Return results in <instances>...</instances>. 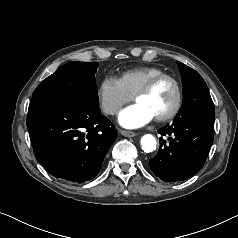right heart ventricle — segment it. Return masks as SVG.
Wrapping results in <instances>:
<instances>
[{
	"label": "right heart ventricle",
	"mask_w": 238,
	"mask_h": 238,
	"mask_svg": "<svg viewBox=\"0 0 238 238\" xmlns=\"http://www.w3.org/2000/svg\"><path fill=\"white\" fill-rule=\"evenodd\" d=\"M165 71L156 66H140L121 73L118 80L124 90L133 96L151 78L164 74Z\"/></svg>",
	"instance_id": "right-heart-ventricle-1"
}]
</instances>
